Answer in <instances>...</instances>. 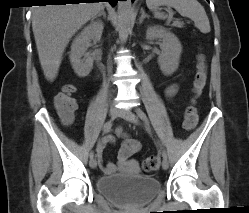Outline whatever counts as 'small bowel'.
<instances>
[{
	"instance_id": "1",
	"label": "small bowel",
	"mask_w": 249,
	"mask_h": 213,
	"mask_svg": "<svg viewBox=\"0 0 249 213\" xmlns=\"http://www.w3.org/2000/svg\"><path fill=\"white\" fill-rule=\"evenodd\" d=\"M178 90V84L177 83H171L169 84L166 89H165V94L168 98H172ZM65 123H70V121L64 120ZM117 136L123 138V142L121 145V148L118 152V161L120 163L126 162L132 155L136 154L140 148L141 144L138 140L129 138L120 128L117 129ZM114 142V137L112 136H107L102 139L100 143L97 145V158H98V163L101 168V170L104 173H113L116 170V166L112 162H104L103 161V152L105 149L106 144L108 143H113Z\"/></svg>"
}]
</instances>
